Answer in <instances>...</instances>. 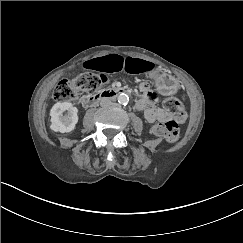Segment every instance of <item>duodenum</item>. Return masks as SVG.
<instances>
[{
  "instance_id": "410a0bca",
  "label": "duodenum",
  "mask_w": 243,
  "mask_h": 243,
  "mask_svg": "<svg viewBox=\"0 0 243 243\" xmlns=\"http://www.w3.org/2000/svg\"><path fill=\"white\" fill-rule=\"evenodd\" d=\"M122 93L130 94L131 92L124 88H116V87L109 88L96 94L84 96L82 98V105L86 108L92 107L102 100L114 99L115 97H117Z\"/></svg>"
}]
</instances>
